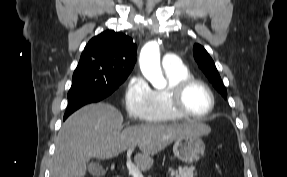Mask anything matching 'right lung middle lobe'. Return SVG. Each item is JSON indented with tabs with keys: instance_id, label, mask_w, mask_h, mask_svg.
I'll return each instance as SVG.
<instances>
[{
	"instance_id": "1",
	"label": "right lung middle lobe",
	"mask_w": 287,
	"mask_h": 177,
	"mask_svg": "<svg viewBox=\"0 0 287 177\" xmlns=\"http://www.w3.org/2000/svg\"><path fill=\"white\" fill-rule=\"evenodd\" d=\"M127 77L128 76L109 79L97 71L77 67L73 74V82L68 92V97L82 92H97L107 97L112 94Z\"/></svg>"
}]
</instances>
